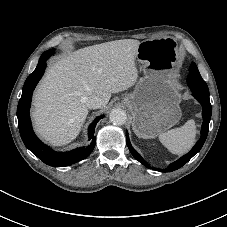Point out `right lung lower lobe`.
<instances>
[{
    "label": "right lung lower lobe",
    "instance_id": "98d812e1",
    "mask_svg": "<svg viewBox=\"0 0 227 227\" xmlns=\"http://www.w3.org/2000/svg\"><path fill=\"white\" fill-rule=\"evenodd\" d=\"M48 58L46 54L40 57L36 69L28 76L23 86L22 96L17 107L19 131L25 146L44 163L54 167L70 166L90 155L95 147L94 130L96 124L104 116L97 117L89 126V140L92 139V142L86 148L80 147L70 152H55L37 138L32 130L29 109L33 90L45 71Z\"/></svg>",
    "mask_w": 227,
    "mask_h": 227
}]
</instances>
